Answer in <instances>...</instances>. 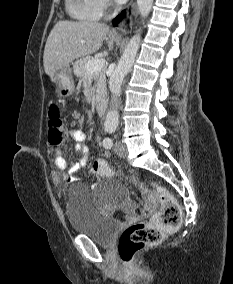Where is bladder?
<instances>
[{"label":"bladder","instance_id":"bladder-1","mask_svg":"<svg viewBox=\"0 0 233 284\" xmlns=\"http://www.w3.org/2000/svg\"><path fill=\"white\" fill-rule=\"evenodd\" d=\"M129 190L120 181L105 183L95 196L84 185H73L68 193L66 216L71 229L101 245H109L120 228V222L100 210L101 204L124 202Z\"/></svg>","mask_w":233,"mask_h":284}]
</instances>
